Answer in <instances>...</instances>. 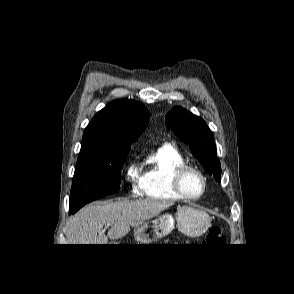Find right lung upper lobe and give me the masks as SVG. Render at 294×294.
<instances>
[{"label": "right lung upper lobe", "mask_w": 294, "mask_h": 294, "mask_svg": "<svg viewBox=\"0 0 294 294\" xmlns=\"http://www.w3.org/2000/svg\"><path fill=\"white\" fill-rule=\"evenodd\" d=\"M147 108L135 100H115L99 111L86 127L81 150L131 149L146 128Z\"/></svg>", "instance_id": "obj_1"}]
</instances>
